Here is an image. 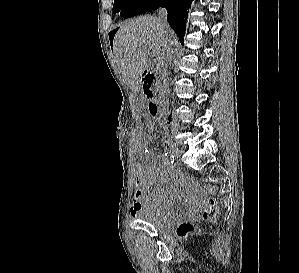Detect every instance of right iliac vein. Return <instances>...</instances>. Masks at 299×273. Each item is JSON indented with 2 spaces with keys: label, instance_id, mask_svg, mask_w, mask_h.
Here are the masks:
<instances>
[{
  "label": "right iliac vein",
  "instance_id": "1",
  "mask_svg": "<svg viewBox=\"0 0 299 273\" xmlns=\"http://www.w3.org/2000/svg\"><path fill=\"white\" fill-rule=\"evenodd\" d=\"M165 147L173 156L180 157L181 151L175 144L167 142Z\"/></svg>",
  "mask_w": 299,
  "mask_h": 273
}]
</instances>
